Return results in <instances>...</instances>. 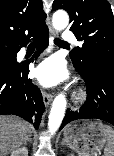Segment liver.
<instances>
[{"label":"liver","mask_w":114,"mask_h":156,"mask_svg":"<svg viewBox=\"0 0 114 156\" xmlns=\"http://www.w3.org/2000/svg\"><path fill=\"white\" fill-rule=\"evenodd\" d=\"M32 133V126L14 116H0V156H8L25 144Z\"/></svg>","instance_id":"1"}]
</instances>
